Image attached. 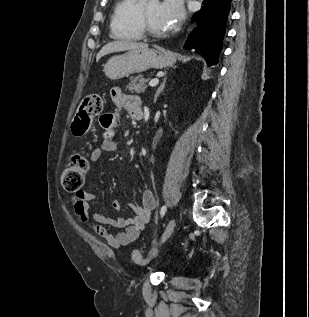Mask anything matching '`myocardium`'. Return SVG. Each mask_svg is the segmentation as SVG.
I'll return each instance as SVG.
<instances>
[{
    "label": "myocardium",
    "mask_w": 309,
    "mask_h": 317,
    "mask_svg": "<svg viewBox=\"0 0 309 317\" xmlns=\"http://www.w3.org/2000/svg\"><path fill=\"white\" fill-rule=\"evenodd\" d=\"M139 24L141 26L143 33L150 37L160 38L167 35L166 33L157 32L150 27L147 21L144 9L142 7L140 8V11H139Z\"/></svg>",
    "instance_id": "obj_1"
}]
</instances>
